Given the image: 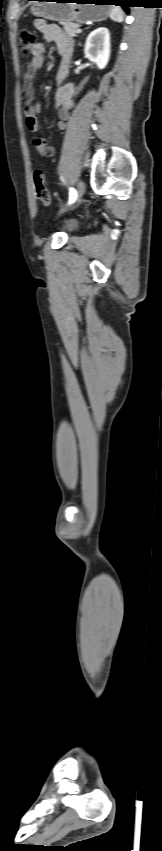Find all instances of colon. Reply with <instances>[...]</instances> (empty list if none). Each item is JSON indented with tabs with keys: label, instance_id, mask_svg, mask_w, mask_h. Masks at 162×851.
Instances as JSON below:
<instances>
[{
	"label": "colon",
	"instance_id": "obj_1",
	"mask_svg": "<svg viewBox=\"0 0 162 851\" xmlns=\"http://www.w3.org/2000/svg\"><path fill=\"white\" fill-rule=\"evenodd\" d=\"M36 44V33L30 28H23L19 33V45L23 55L27 56L32 53V49ZM33 182L37 197L44 205H49L51 202V193L46 187L45 176L42 170L37 169L33 174Z\"/></svg>",
	"mask_w": 162,
	"mask_h": 851
}]
</instances>
